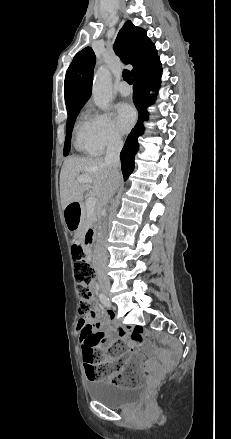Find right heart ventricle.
Here are the masks:
<instances>
[{
	"label": "right heart ventricle",
	"instance_id": "right-heart-ventricle-1",
	"mask_svg": "<svg viewBox=\"0 0 231 439\" xmlns=\"http://www.w3.org/2000/svg\"><path fill=\"white\" fill-rule=\"evenodd\" d=\"M74 146L79 152L84 154H99L88 138L86 117H83L75 127Z\"/></svg>",
	"mask_w": 231,
	"mask_h": 439
}]
</instances>
